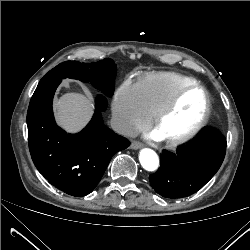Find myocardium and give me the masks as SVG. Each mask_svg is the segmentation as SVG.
<instances>
[{
	"label": "myocardium",
	"mask_w": 250,
	"mask_h": 250,
	"mask_svg": "<svg viewBox=\"0 0 250 250\" xmlns=\"http://www.w3.org/2000/svg\"><path fill=\"white\" fill-rule=\"evenodd\" d=\"M199 90L203 94L204 108L198 121L186 132L171 138H162L163 142L169 146H176L192 139L206 124L211 112L210 95L206 88L199 83H190L180 87L169 99V101L153 117L151 127L155 131L162 121L174 110L180 98L190 90Z\"/></svg>",
	"instance_id": "1"
}]
</instances>
